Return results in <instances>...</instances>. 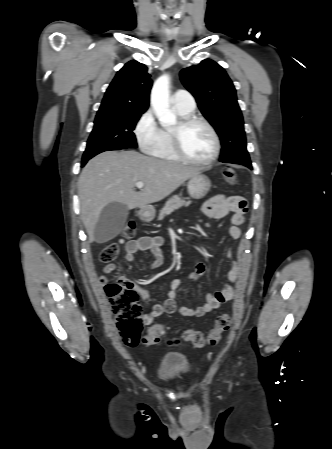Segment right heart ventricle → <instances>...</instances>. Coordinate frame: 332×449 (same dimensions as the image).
I'll use <instances>...</instances> for the list:
<instances>
[{
  "instance_id": "e07e8e85",
  "label": "right heart ventricle",
  "mask_w": 332,
  "mask_h": 449,
  "mask_svg": "<svg viewBox=\"0 0 332 449\" xmlns=\"http://www.w3.org/2000/svg\"><path fill=\"white\" fill-rule=\"evenodd\" d=\"M175 112L180 117H187L190 115V113H186L174 106ZM151 154L159 159L163 160H169V161H177L179 158L174 153L173 147H172V141H171V133L168 129H162L161 130V137L159 140V143L154 148V150L151 152Z\"/></svg>"
}]
</instances>
